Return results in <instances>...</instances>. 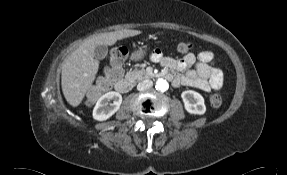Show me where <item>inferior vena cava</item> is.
Listing matches in <instances>:
<instances>
[{
  "label": "inferior vena cava",
  "instance_id": "602c4592",
  "mask_svg": "<svg viewBox=\"0 0 287 175\" xmlns=\"http://www.w3.org/2000/svg\"><path fill=\"white\" fill-rule=\"evenodd\" d=\"M152 86H153L152 80L145 79V80L139 82V84L137 85V89L139 91H144V90L151 88Z\"/></svg>",
  "mask_w": 287,
  "mask_h": 175
}]
</instances>
